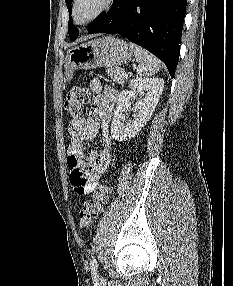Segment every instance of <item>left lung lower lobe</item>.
<instances>
[{
    "label": "left lung lower lobe",
    "mask_w": 233,
    "mask_h": 286,
    "mask_svg": "<svg viewBox=\"0 0 233 286\" xmlns=\"http://www.w3.org/2000/svg\"><path fill=\"white\" fill-rule=\"evenodd\" d=\"M186 3L187 0H114L111 9L91 23L88 33H118L157 56L174 77Z\"/></svg>",
    "instance_id": "0a47b994"
}]
</instances>
